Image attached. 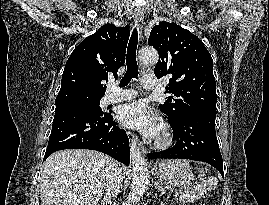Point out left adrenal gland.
Wrapping results in <instances>:
<instances>
[{
    "mask_svg": "<svg viewBox=\"0 0 269 205\" xmlns=\"http://www.w3.org/2000/svg\"><path fill=\"white\" fill-rule=\"evenodd\" d=\"M154 186L156 190L163 193L165 192V189L163 188L162 184H160L158 181H155Z\"/></svg>",
    "mask_w": 269,
    "mask_h": 205,
    "instance_id": "left-adrenal-gland-1",
    "label": "left adrenal gland"
}]
</instances>
